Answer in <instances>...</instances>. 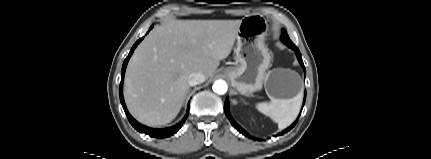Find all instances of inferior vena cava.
Masks as SVG:
<instances>
[{
  "label": "inferior vena cava",
  "instance_id": "602c4592",
  "mask_svg": "<svg viewBox=\"0 0 431 159\" xmlns=\"http://www.w3.org/2000/svg\"><path fill=\"white\" fill-rule=\"evenodd\" d=\"M205 81V75L201 72H193L189 75L188 83L190 86L201 84Z\"/></svg>",
  "mask_w": 431,
  "mask_h": 159
}]
</instances>
